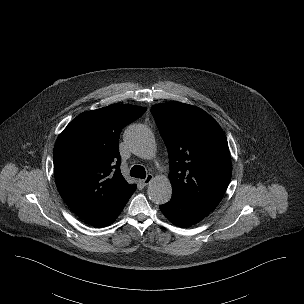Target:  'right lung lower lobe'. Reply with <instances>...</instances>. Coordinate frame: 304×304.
Returning a JSON list of instances; mask_svg holds the SVG:
<instances>
[{
    "mask_svg": "<svg viewBox=\"0 0 304 304\" xmlns=\"http://www.w3.org/2000/svg\"><path fill=\"white\" fill-rule=\"evenodd\" d=\"M135 190H136V186L125 197H123L109 213H107L104 217H102L100 220H98L93 224L101 227L113 223L115 219L119 216V214L121 213L127 201L129 200V198L131 197V195L134 193Z\"/></svg>",
    "mask_w": 304,
    "mask_h": 304,
    "instance_id": "98d812e1",
    "label": "right lung lower lobe"
}]
</instances>
